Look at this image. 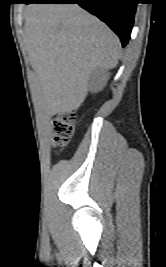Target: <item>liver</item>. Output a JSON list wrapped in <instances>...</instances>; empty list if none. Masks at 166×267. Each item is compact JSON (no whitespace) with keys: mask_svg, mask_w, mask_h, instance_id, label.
<instances>
[{"mask_svg":"<svg viewBox=\"0 0 166 267\" xmlns=\"http://www.w3.org/2000/svg\"><path fill=\"white\" fill-rule=\"evenodd\" d=\"M24 41L43 107L51 115L77 110L92 72L112 69L120 58L118 37L77 4L30 5Z\"/></svg>","mask_w":166,"mask_h":267,"instance_id":"1","label":"liver"}]
</instances>
